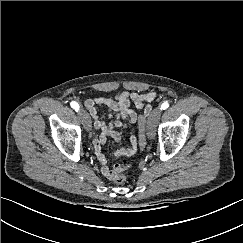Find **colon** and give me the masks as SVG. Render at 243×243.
Wrapping results in <instances>:
<instances>
[{
  "label": "colon",
  "mask_w": 243,
  "mask_h": 243,
  "mask_svg": "<svg viewBox=\"0 0 243 243\" xmlns=\"http://www.w3.org/2000/svg\"><path fill=\"white\" fill-rule=\"evenodd\" d=\"M146 119L147 116L141 114L138 118V131H139V146L140 149L144 148L146 144ZM130 168V164L127 160H123L120 164L116 165L117 175L114 181L118 184H122L127 180L125 172Z\"/></svg>",
  "instance_id": "obj_1"
}]
</instances>
